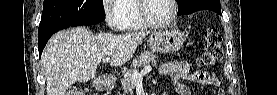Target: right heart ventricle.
<instances>
[{"instance_id": "e07e8e85", "label": "right heart ventricle", "mask_w": 277, "mask_h": 95, "mask_svg": "<svg viewBox=\"0 0 277 95\" xmlns=\"http://www.w3.org/2000/svg\"><path fill=\"white\" fill-rule=\"evenodd\" d=\"M139 0H123L118 6L122 9V27L125 29H138L146 27L138 13Z\"/></svg>"}]
</instances>
